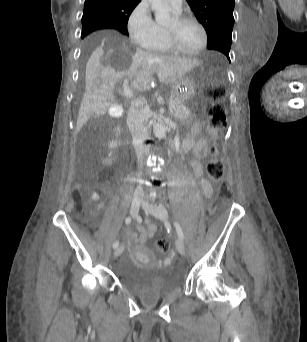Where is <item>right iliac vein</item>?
Returning <instances> with one entry per match:
<instances>
[{"label":"right iliac vein","instance_id":"obj_1","mask_svg":"<svg viewBox=\"0 0 307 342\" xmlns=\"http://www.w3.org/2000/svg\"><path fill=\"white\" fill-rule=\"evenodd\" d=\"M141 202L142 200L140 197L136 196L132 199L131 206H130V213L133 218L137 217L139 210H140ZM123 249H124V245H120L119 247H117L113 253V256L118 257L119 255H121V253L123 252Z\"/></svg>","mask_w":307,"mask_h":342}]
</instances>
